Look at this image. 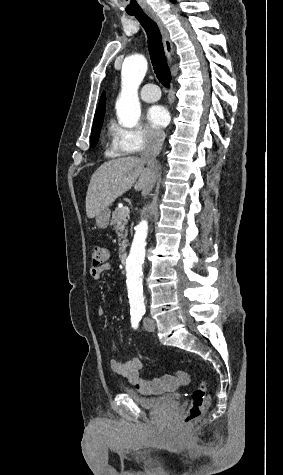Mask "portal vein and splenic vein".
<instances>
[{
  "label": "portal vein and splenic vein",
  "instance_id": "obj_1",
  "mask_svg": "<svg viewBox=\"0 0 283 475\" xmlns=\"http://www.w3.org/2000/svg\"><path fill=\"white\" fill-rule=\"evenodd\" d=\"M126 214H129V208H125Z\"/></svg>",
  "mask_w": 283,
  "mask_h": 475
}]
</instances>
